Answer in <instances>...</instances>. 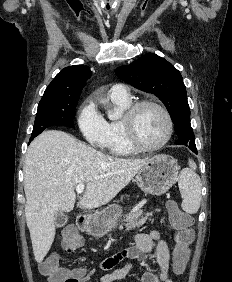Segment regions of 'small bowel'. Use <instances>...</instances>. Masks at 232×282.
<instances>
[{
	"mask_svg": "<svg viewBox=\"0 0 232 282\" xmlns=\"http://www.w3.org/2000/svg\"><path fill=\"white\" fill-rule=\"evenodd\" d=\"M135 246L111 256L99 263V269L110 271L120 264L124 258L143 259L145 256L154 254L159 272L146 270L141 275V282H173L170 277V251L166 241L157 230L149 233H139L134 237ZM55 256L56 255H50ZM133 265L126 263L113 271L103 274L98 282H114L124 279L133 271ZM67 274L77 278V282H88L95 274V270L73 269L67 270ZM48 282H52L48 277Z\"/></svg>",
	"mask_w": 232,
	"mask_h": 282,
	"instance_id": "1",
	"label": "small bowel"
}]
</instances>
